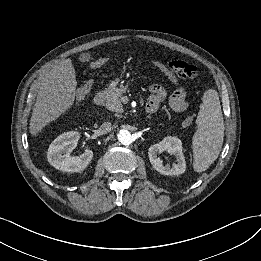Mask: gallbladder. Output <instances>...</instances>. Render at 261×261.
<instances>
[{
  "label": "gallbladder",
  "mask_w": 261,
  "mask_h": 261,
  "mask_svg": "<svg viewBox=\"0 0 261 261\" xmlns=\"http://www.w3.org/2000/svg\"><path fill=\"white\" fill-rule=\"evenodd\" d=\"M86 55H81L80 60L84 61Z\"/></svg>",
  "instance_id": "1"
}]
</instances>
